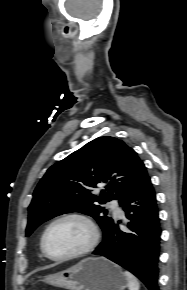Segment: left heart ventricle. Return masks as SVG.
I'll list each match as a JSON object with an SVG mask.
<instances>
[{
  "instance_id": "left-heart-ventricle-1",
  "label": "left heart ventricle",
  "mask_w": 187,
  "mask_h": 290,
  "mask_svg": "<svg viewBox=\"0 0 187 290\" xmlns=\"http://www.w3.org/2000/svg\"><path fill=\"white\" fill-rule=\"evenodd\" d=\"M90 239L87 227L77 220L57 223L47 237V248L51 255L62 256L83 248Z\"/></svg>"
}]
</instances>
